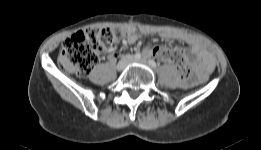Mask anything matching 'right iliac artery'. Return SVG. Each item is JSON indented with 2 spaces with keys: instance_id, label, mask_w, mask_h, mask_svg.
Returning <instances> with one entry per match:
<instances>
[{
  "instance_id": "1",
  "label": "right iliac artery",
  "mask_w": 261,
  "mask_h": 150,
  "mask_svg": "<svg viewBox=\"0 0 261 150\" xmlns=\"http://www.w3.org/2000/svg\"><path fill=\"white\" fill-rule=\"evenodd\" d=\"M140 58H141V54L140 53H136L134 55V59L139 60Z\"/></svg>"
}]
</instances>
